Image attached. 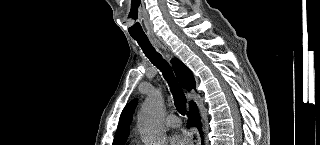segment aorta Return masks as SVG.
Returning <instances> with one entry per match:
<instances>
[{"label":"aorta","instance_id":"obj_1","mask_svg":"<svg viewBox=\"0 0 320 145\" xmlns=\"http://www.w3.org/2000/svg\"><path fill=\"white\" fill-rule=\"evenodd\" d=\"M164 100L158 92L146 99L138 115V129L146 145H163L165 130L162 125Z\"/></svg>","mask_w":320,"mask_h":145}]
</instances>
